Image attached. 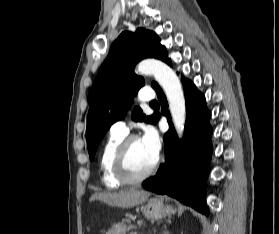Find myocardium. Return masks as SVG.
Listing matches in <instances>:
<instances>
[{
	"label": "myocardium",
	"instance_id": "1",
	"mask_svg": "<svg viewBox=\"0 0 279 234\" xmlns=\"http://www.w3.org/2000/svg\"><path fill=\"white\" fill-rule=\"evenodd\" d=\"M140 139L138 135H129L126 136L118 145L114 160H113V170L115 176L125 184H135L139 183L149 176L153 174V172L157 169L160 159L159 157L156 158L154 163L144 172L141 174H134L130 171L128 167V154L129 149L135 140Z\"/></svg>",
	"mask_w": 279,
	"mask_h": 234
}]
</instances>
